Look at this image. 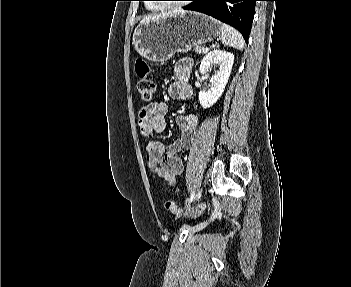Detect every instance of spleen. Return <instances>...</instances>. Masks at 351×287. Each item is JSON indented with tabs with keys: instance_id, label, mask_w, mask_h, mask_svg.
I'll list each match as a JSON object with an SVG mask.
<instances>
[{
	"instance_id": "1",
	"label": "spleen",
	"mask_w": 351,
	"mask_h": 287,
	"mask_svg": "<svg viewBox=\"0 0 351 287\" xmlns=\"http://www.w3.org/2000/svg\"><path fill=\"white\" fill-rule=\"evenodd\" d=\"M221 29V40L224 45L236 48L238 50H242L244 48L243 37L236 29L227 24H222Z\"/></svg>"
}]
</instances>
